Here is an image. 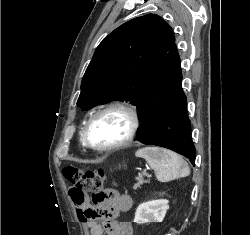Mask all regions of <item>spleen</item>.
I'll use <instances>...</instances> for the list:
<instances>
[{
    "label": "spleen",
    "mask_w": 250,
    "mask_h": 235,
    "mask_svg": "<svg viewBox=\"0 0 250 235\" xmlns=\"http://www.w3.org/2000/svg\"><path fill=\"white\" fill-rule=\"evenodd\" d=\"M135 155L144 158L152 169L156 178L161 182H168L190 174L188 163L177 153L158 147H145Z\"/></svg>",
    "instance_id": "spleen-1"
}]
</instances>
